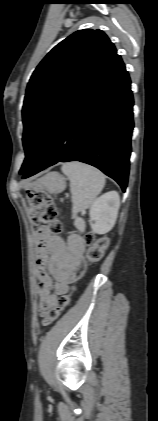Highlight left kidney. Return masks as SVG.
Instances as JSON below:
<instances>
[{"label": "left kidney", "mask_w": 158, "mask_h": 421, "mask_svg": "<svg viewBox=\"0 0 158 421\" xmlns=\"http://www.w3.org/2000/svg\"><path fill=\"white\" fill-rule=\"evenodd\" d=\"M120 197L118 192L110 191L95 200L90 208V226L94 233L105 234L115 225Z\"/></svg>", "instance_id": "obj_1"}]
</instances>
